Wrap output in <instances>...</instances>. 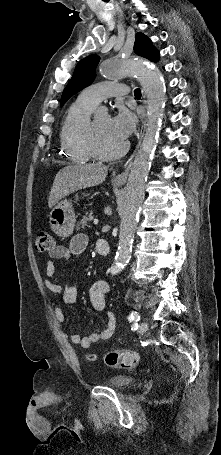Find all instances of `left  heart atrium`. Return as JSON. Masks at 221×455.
Instances as JSON below:
<instances>
[{"instance_id":"left-heart-atrium-1","label":"left heart atrium","mask_w":221,"mask_h":455,"mask_svg":"<svg viewBox=\"0 0 221 455\" xmlns=\"http://www.w3.org/2000/svg\"><path fill=\"white\" fill-rule=\"evenodd\" d=\"M111 127L114 133L122 140H126L136 127L134 114L126 108H120L111 118Z\"/></svg>"}]
</instances>
